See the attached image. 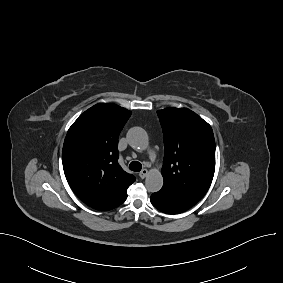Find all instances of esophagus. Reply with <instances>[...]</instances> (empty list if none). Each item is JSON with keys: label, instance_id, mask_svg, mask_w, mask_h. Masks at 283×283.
<instances>
[{"label": "esophagus", "instance_id": "esophagus-1", "mask_svg": "<svg viewBox=\"0 0 283 283\" xmlns=\"http://www.w3.org/2000/svg\"><path fill=\"white\" fill-rule=\"evenodd\" d=\"M147 175H148V170H147V169H143V170L139 173V177H140L141 179H144Z\"/></svg>", "mask_w": 283, "mask_h": 283}]
</instances>
